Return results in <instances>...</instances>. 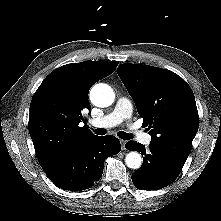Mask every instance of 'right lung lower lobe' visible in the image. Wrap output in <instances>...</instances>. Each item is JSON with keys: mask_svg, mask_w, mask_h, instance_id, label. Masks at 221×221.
Segmentation results:
<instances>
[{"mask_svg": "<svg viewBox=\"0 0 221 221\" xmlns=\"http://www.w3.org/2000/svg\"><path fill=\"white\" fill-rule=\"evenodd\" d=\"M120 150V141L115 136H96L44 171L59 188L81 191L100 179L105 159Z\"/></svg>", "mask_w": 221, "mask_h": 221, "instance_id": "obj_1", "label": "right lung lower lobe"}]
</instances>
